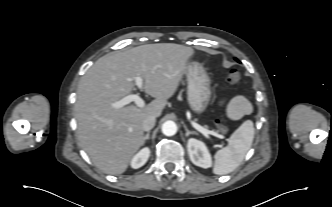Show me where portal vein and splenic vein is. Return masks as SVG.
Returning <instances> with one entry per match:
<instances>
[{
  "label": "portal vein and splenic vein",
  "instance_id": "obj_1",
  "mask_svg": "<svg viewBox=\"0 0 332 207\" xmlns=\"http://www.w3.org/2000/svg\"><path fill=\"white\" fill-rule=\"evenodd\" d=\"M134 82L139 90L143 89V80L141 77H139V76L135 77ZM131 102H134L140 108H143L145 106L144 100L138 94H129V95L125 96L124 98H122L121 100L115 102L113 104V107L117 108V109L122 108ZM192 125L196 130L201 132L205 137L209 138V134H211V131L205 129L204 127H202L199 124L194 123V122H192ZM221 147H222V145H221Z\"/></svg>",
  "mask_w": 332,
  "mask_h": 207
}]
</instances>
